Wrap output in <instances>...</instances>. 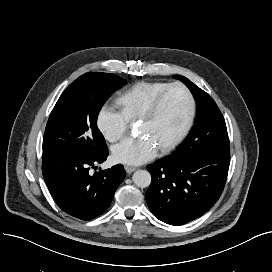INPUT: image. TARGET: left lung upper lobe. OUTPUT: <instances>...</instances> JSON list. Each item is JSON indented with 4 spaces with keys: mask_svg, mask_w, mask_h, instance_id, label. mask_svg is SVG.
<instances>
[{
    "mask_svg": "<svg viewBox=\"0 0 272 272\" xmlns=\"http://www.w3.org/2000/svg\"><path fill=\"white\" fill-rule=\"evenodd\" d=\"M174 77L187 85L197 103L194 127L176 151L190 154L229 151L225 120L214 100L186 77Z\"/></svg>",
    "mask_w": 272,
    "mask_h": 272,
    "instance_id": "1",
    "label": "left lung upper lobe"
}]
</instances>
